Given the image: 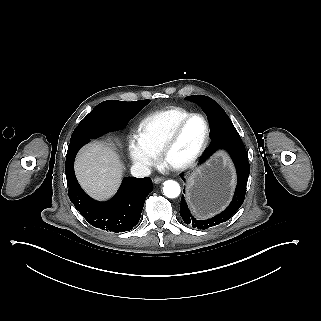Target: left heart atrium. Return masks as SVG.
I'll use <instances>...</instances> for the list:
<instances>
[{
	"mask_svg": "<svg viewBox=\"0 0 321 321\" xmlns=\"http://www.w3.org/2000/svg\"><path fill=\"white\" fill-rule=\"evenodd\" d=\"M164 167H169V164H165Z\"/></svg>",
	"mask_w": 321,
	"mask_h": 321,
	"instance_id": "left-heart-atrium-1",
	"label": "left heart atrium"
}]
</instances>
